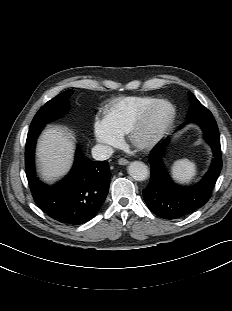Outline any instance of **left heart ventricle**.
<instances>
[{
	"instance_id": "b2bd125f",
	"label": "left heart ventricle",
	"mask_w": 232,
	"mask_h": 311,
	"mask_svg": "<svg viewBox=\"0 0 232 311\" xmlns=\"http://www.w3.org/2000/svg\"><path fill=\"white\" fill-rule=\"evenodd\" d=\"M168 108L167 107H160L157 109L149 118L147 123L145 124L143 130H142V136H148L151 133H153L162 123V121L165 119V117L168 114Z\"/></svg>"
}]
</instances>
